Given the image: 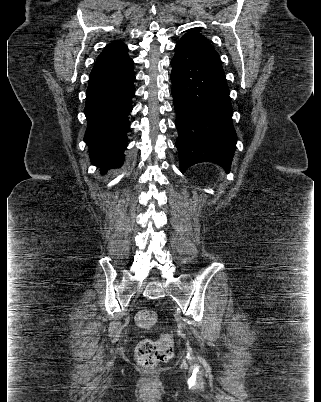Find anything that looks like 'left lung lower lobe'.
<instances>
[{"label":"left lung lower lobe","mask_w":321,"mask_h":402,"mask_svg":"<svg viewBox=\"0 0 321 402\" xmlns=\"http://www.w3.org/2000/svg\"><path fill=\"white\" fill-rule=\"evenodd\" d=\"M171 65L181 172L200 162L229 171L237 135L218 53L200 43L179 41Z\"/></svg>","instance_id":"0a47b994"}]
</instances>
